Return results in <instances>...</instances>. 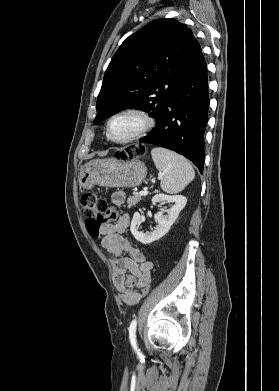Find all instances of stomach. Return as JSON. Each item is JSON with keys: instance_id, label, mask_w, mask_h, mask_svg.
<instances>
[{"instance_id": "obj_1", "label": "stomach", "mask_w": 279, "mask_h": 391, "mask_svg": "<svg viewBox=\"0 0 279 391\" xmlns=\"http://www.w3.org/2000/svg\"><path fill=\"white\" fill-rule=\"evenodd\" d=\"M147 168L139 160L122 162L117 159H96L84 164L79 183L84 189L102 187H136L145 179Z\"/></svg>"}]
</instances>
